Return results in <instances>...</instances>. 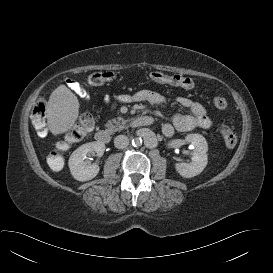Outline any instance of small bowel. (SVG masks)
Segmentation results:
<instances>
[{
  "instance_id": "small-bowel-1",
  "label": "small bowel",
  "mask_w": 273,
  "mask_h": 273,
  "mask_svg": "<svg viewBox=\"0 0 273 273\" xmlns=\"http://www.w3.org/2000/svg\"><path fill=\"white\" fill-rule=\"evenodd\" d=\"M66 83L81 98H87V90L80 83L71 79L66 80ZM119 101L123 103L148 102L151 104L162 105L165 102V98L158 92L141 90L133 95L123 94L119 96ZM177 102L181 106L189 109L190 114H176L174 115L172 122L164 123L162 125V133L165 137H172L176 131L188 132L196 128L211 127L212 121L208 117L206 109L202 104L187 97H178ZM110 103V99L106 98L105 104L110 105Z\"/></svg>"
}]
</instances>
